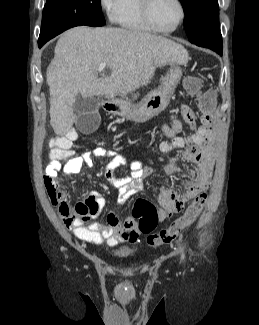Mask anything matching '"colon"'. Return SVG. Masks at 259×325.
Masks as SVG:
<instances>
[{"instance_id":"1","label":"colon","mask_w":259,"mask_h":325,"mask_svg":"<svg viewBox=\"0 0 259 325\" xmlns=\"http://www.w3.org/2000/svg\"><path fill=\"white\" fill-rule=\"evenodd\" d=\"M183 89L191 97L199 101V107L202 111L203 129L209 130L212 114L216 107V99L212 90H210L202 79L196 76H186L183 79ZM75 131H70L65 135L56 136L50 142L51 154L55 159H62L71 152V146L76 139ZM170 148H179V144H184V139H174V143H170V139H165L162 144L163 150ZM47 191L50 199H59L62 193L58 189V182L51 180L47 185ZM206 204V195L204 193L195 197L192 204L187 210L174 220L167 228L160 230L158 233L150 234L147 243L151 247H159L174 241L179 234L189 227L201 213ZM133 218L137 221L139 233L149 234L156 227L159 216L156 207L148 200H136L133 212Z\"/></svg>"}]
</instances>
